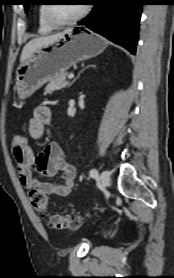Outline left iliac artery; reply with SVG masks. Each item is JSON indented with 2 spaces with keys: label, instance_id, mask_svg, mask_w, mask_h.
Returning <instances> with one entry per match:
<instances>
[{
  "label": "left iliac artery",
  "instance_id": "1",
  "mask_svg": "<svg viewBox=\"0 0 174 278\" xmlns=\"http://www.w3.org/2000/svg\"><path fill=\"white\" fill-rule=\"evenodd\" d=\"M90 176H91L92 178H97V177H98V171H97L96 169H92V170L90 171Z\"/></svg>",
  "mask_w": 174,
  "mask_h": 278
}]
</instances>
